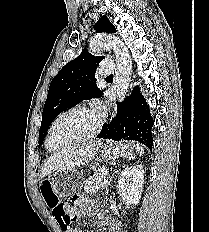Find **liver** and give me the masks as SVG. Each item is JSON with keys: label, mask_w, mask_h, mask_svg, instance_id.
Listing matches in <instances>:
<instances>
[{"label": "liver", "mask_w": 209, "mask_h": 232, "mask_svg": "<svg viewBox=\"0 0 209 232\" xmlns=\"http://www.w3.org/2000/svg\"><path fill=\"white\" fill-rule=\"evenodd\" d=\"M99 141H90L86 143L69 146L62 151L51 156L44 164L40 178L50 175L55 171H62L64 169H72L76 166L85 165L94 158Z\"/></svg>", "instance_id": "obj_1"}]
</instances>
